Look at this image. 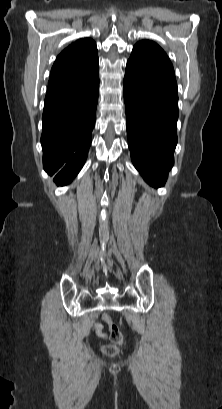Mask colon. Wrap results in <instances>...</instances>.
I'll use <instances>...</instances> for the list:
<instances>
[{
  "instance_id": "1",
  "label": "colon",
  "mask_w": 222,
  "mask_h": 409,
  "mask_svg": "<svg viewBox=\"0 0 222 409\" xmlns=\"http://www.w3.org/2000/svg\"><path fill=\"white\" fill-rule=\"evenodd\" d=\"M103 319L109 325V333L111 344L104 346L103 350L107 355L113 356L119 352L120 347L124 343V338L120 332L118 326L110 321V318L107 314L103 315Z\"/></svg>"
}]
</instances>
